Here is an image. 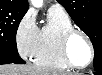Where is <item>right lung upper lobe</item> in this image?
<instances>
[{
    "label": "right lung upper lobe",
    "mask_w": 102,
    "mask_h": 75,
    "mask_svg": "<svg viewBox=\"0 0 102 75\" xmlns=\"http://www.w3.org/2000/svg\"><path fill=\"white\" fill-rule=\"evenodd\" d=\"M28 6L27 0H0V9L27 11Z\"/></svg>",
    "instance_id": "obj_1"
}]
</instances>
